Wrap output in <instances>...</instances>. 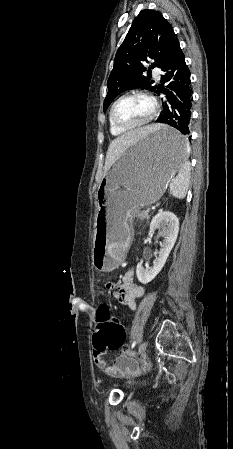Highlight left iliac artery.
Returning <instances> with one entry per match:
<instances>
[{
	"label": "left iliac artery",
	"instance_id": "obj_1",
	"mask_svg": "<svg viewBox=\"0 0 233 449\" xmlns=\"http://www.w3.org/2000/svg\"><path fill=\"white\" fill-rule=\"evenodd\" d=\"M136 343H137V340H135V341L132 343V348L135 347Z\"/></svg>",
	"mask_w": 233,
	"mask_h": 449
}]
</instances>
